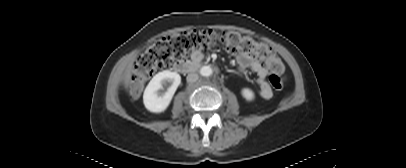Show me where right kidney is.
Returning a JSON list of instances; mask_svg holds the SVG:
<instances>
[{
	"label": "right kidney",
	"mask_w": 406,
	"mask_h": 168,
	"mask_svg": "<svg viewBox=\"0 0 406 168\" xmlns=\"http://www.w3.org/2000/svg\"><path fill=\"white\" fill-rule=\"evenodd\" d=\"M180 83L181 77L176 72L164 70L157 73L149 82L143 94L146 109L153 113L165 111ZM163 86H168L164 94L160 92Z\"/></svg>",
	"instance_id": "ca27d5eb"
}]
</instances>
